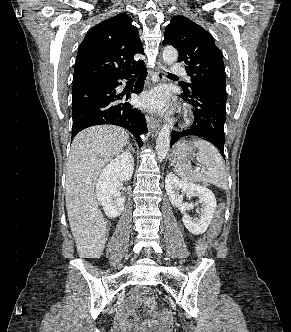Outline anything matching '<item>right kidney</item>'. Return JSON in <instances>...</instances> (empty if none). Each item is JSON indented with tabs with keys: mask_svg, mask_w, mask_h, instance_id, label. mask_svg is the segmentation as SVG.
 <instances>
[{
	"mask_svg": "<svg viewBox=\"0 0 291 332\" xmlns=\"http://www.w3.org/2000/svg\"><path fill=\"white\" fill-rule=\"evenodd\" d=\"M132 159L129 152L116 156L96 183L97 200L109 218L120 216L124 209L125 198L121 196L119 184L123 180H130L133 172Z\"/></svg>",
	"mask_w": 291,
	"mask_h": 332,
	"instance_id": "1",
	"label": "right kidney"
}]
</instances>
